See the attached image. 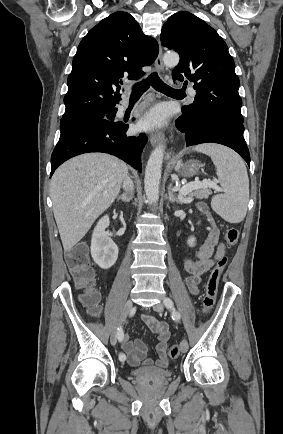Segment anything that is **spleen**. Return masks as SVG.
<instances>
[{
  "label": "spleen",
  "mask_w": 283,
  "mask_h": 434,
  "mask_svg": "<svg viewBox=\"0 0 283 434\" xmlns=\"http://www.w3.org/2000/svg\"><path fill=\"white\" fill-rule=\"evenodd\" d=\"M194 150L209 155L216 167L223 193L212 199V209L230 223L241 222L249 201V179L243 160L231 149L217 144L198 145ZM180 165L178 161L176 169Z\"/></svg>",
  "instance_id": "1"
}]
</instances>
